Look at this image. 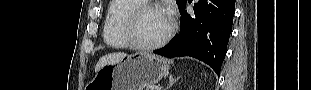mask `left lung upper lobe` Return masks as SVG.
Returning <instances> with one entry per match:
<instances>
[{"mask_svg":"<svg viewBox=\"0 0 311 90\" xmlns=\"http://www.w3.org/2000/svg\"><path fill=\"white\" fill-rule=\"evenodd\" d=\"M179 9L186 3V0H176Z\"/></svg>","mask_w":311,"mask_h":90,"instance_id":"left-lung-upper-lobe-1","label":"left lung upper lobe"}]
</instances>
